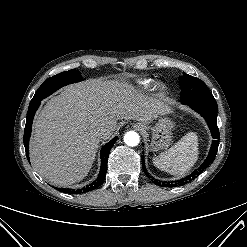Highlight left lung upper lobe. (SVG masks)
<instances>
[{
  "label": "left lung upper lobe",
  "mask_w": 247,
  "mask_h": 247,
  "mask_svg": "<svg viewBox=\"0 0 247 247\" xmlns=\"http://www.w3.org/2000/svg\"><path fill=\"white\" fill-rule=\"evenodd\" d=\"M179 81L182 89L180 97L182 103L213 97L206 84L198 78L185 74L179 77Z\"/></svg>",
  "instance_id": "1"
}]
</instances>
